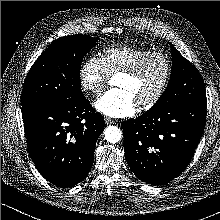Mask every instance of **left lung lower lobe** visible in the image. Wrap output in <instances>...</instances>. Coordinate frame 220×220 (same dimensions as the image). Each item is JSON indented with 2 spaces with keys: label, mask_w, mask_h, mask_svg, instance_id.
Wrapping results in <instances>:
<instances>
[{
  "label": "left lung lower lobe",
  "mask_w": 220,
  "mask_h": 220,
  "mask_svg": "<svg viewBox=\"0 0 220 220\" xmlns=\"http://www.w3.org/2000/svg\"><path fill=\"white\" fill-rule=\"evenodd\" d=\"M206 98L149 109L122 124L127 163L151 185L180 175L191 161L206 121Z\"/></svg>",
  "instance_id": "obj_1"
}]
</instances>
